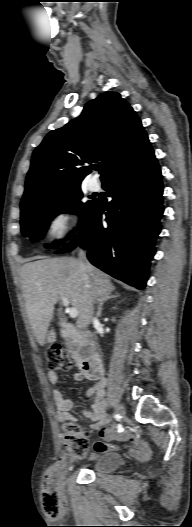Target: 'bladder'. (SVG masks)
Returning a JSON list of instances; mask_svg holds the SVG:
<instances>
[{"mask_svg":"<svg viewBox=\"0 0 192 527\" xmlns=\"http://www.w3.org/2000/svg\"><path fill=\"white\" fill-rule=\"evenodd\" d=\"M122 464V457L116 452H102L97 454L91 464L95 473H109L118 469Z\"/></svg>","mask_w":192,"mask_h":527,"instance_id":"31cf9c89","label":"bladder"}]
</instances>
